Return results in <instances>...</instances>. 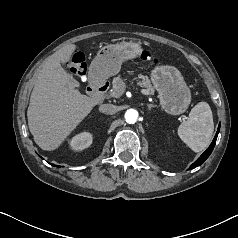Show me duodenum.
Returning a JSON list of instances; mask_svg holds the SVG:
<instances>
[{
    "label": "duodenum",
    "mask_w": 238,
    "mask_h": 238,
    "mask_svg": "<svg viewBox=\"0 0 238 238\" xmlns=\"http://www.w3.org/2000/svg\"><path fill=\"white\" fill-rule=\"evenodd\" d=\"M108 87L109 83L105 79L97 75H93L90 79V84L87 90L91 97L99 100L107 91Z\"/></svg>",
    "instance_id": "obj_1"
}]
</instances>
